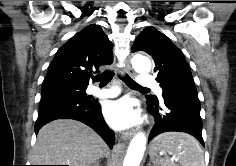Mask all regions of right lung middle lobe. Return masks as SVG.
Here are the masks:
<instances>
[{
  "label": "right lung middle lobe",
  "mask_w": 236,
  "mask_h": 166,
  "mask_svg": "<svg viewBox=\"0 0 236 166\" xmlns=\"http://www.w3.org/2000/svg\"><path fill=\"white\" fill-rule=\"evenodd\" d=\"M86 88L87 87H78L77 90H76L77 94L80 95L81 97L88 98V96L85 93Z\"/></svg>",
  "instance_id": "right-lung-middle-lobe-1"
}]
</instances>
